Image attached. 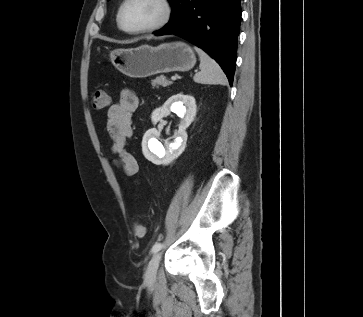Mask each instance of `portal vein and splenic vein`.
<instances>
[{
	"label": "portal vein and splenic vein",
	"instance_id": "1",
	"mask_svg": "<svg viewBox=\"0 0 363 317\" xmlns=\"http://www.w3.org/2000/svg\"><path fill=\"white\" fill-rule=\"evenodd\" d=\"M171 80H172V81H175V80H176V76H172V77H171Z\"/></svg>",
	"mask_w": 363,
	"mask_h": 317
}]
</instances>
